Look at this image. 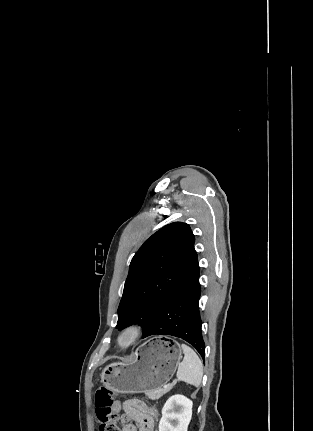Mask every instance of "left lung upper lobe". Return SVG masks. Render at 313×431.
Here are the masks:
<instances>
[{"instance_id":"5c2ea615","label":"left lung upper lobe","mask_w":313,"mask_h":431,"mask_svg":"<svg viewBox=\"0 0 313 431\" xmlns=\"http://www.w3.org/2000/svg\"><path fill=\"white\" fill-rule=\"evenodd\" d=\"M194 235L174 222L147 239L130 263L118 308L119 330L140 324L143 333L162 307L199 271Z\"/></svg>"}]
</instances>
